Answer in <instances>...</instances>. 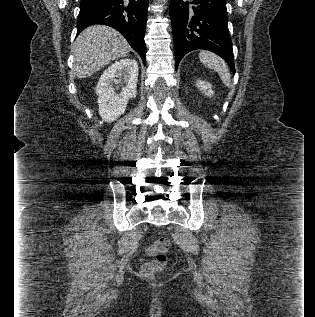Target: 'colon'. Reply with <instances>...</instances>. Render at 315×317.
Instances as JSON below:
<instances>
[{
  "instance_id": "colon-1",
  "label": "colon",
  "mask_w": 315,
  "mask_h": 317,
  "mask_svg": "<svg viewBox=\"0 0 315 317\" xmlns=\"http://www.w3.org/2000/svg\"><path fill=\"white\" fill-rule=\"evenodd\" d=\"M169 249L170 241L165 237L157 239L149 247L148 252L153 256V259L142 266L141 273L144 277L153 278L165 268Z\"/></svg>"
}]
</instances>
